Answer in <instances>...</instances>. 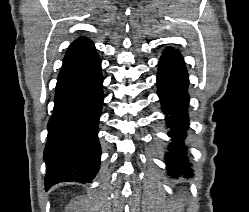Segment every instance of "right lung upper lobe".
Instances as JSON below:
<instances>
[{
	"label": "right lung upper lobe",
	"instance_id": "1",
	"mask_svg": "<svg viewBox=\"0 0 249 212\" xmlns=\"http://www.w3.org/2000/svg\"><path fill=\"white\" fill-rule=\"evenodd\" d=\"M95 51L94 44L91 40L85 37L78 38L68 48L61 70L89 60L97 54Z\"/></svg>",
	"mask_w": 249,
	"mask_h": 212
}]
</instances>
